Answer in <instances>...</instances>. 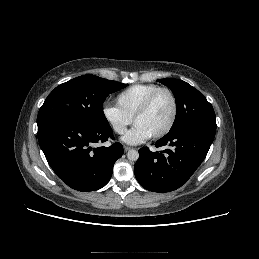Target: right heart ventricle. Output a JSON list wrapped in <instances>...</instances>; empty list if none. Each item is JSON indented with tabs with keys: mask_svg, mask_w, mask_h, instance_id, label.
I'll list each match as a JSON object with an SVG mask.
<instances>
[{
	"mask_svg": "<svg viewBox=\"0 0 259 259\" xmlns=\"http://www.w3.org/2000/svg\"><path fill=\"white\" fill-rule=\"evenodd\" d=\"M158 88H160L158 85L152 83L132 85L117 95V106L126 115L133 118L144 100Z\"/></svg>",
	"mask_w": 259,
	"mask_h": 259,
	"instance_id": "obj_1",
	"label": "right heart ventricle"
}]
</instances>
